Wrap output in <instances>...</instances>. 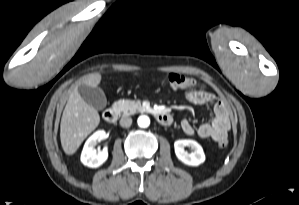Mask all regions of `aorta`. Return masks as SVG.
Returning <instances> with one entry per match:
<instances>
[{"label":"aorta","instance_id":"aorta-1","mask_svg":"<svg viewBox=\"0 0 299 205\" xmlns=\"http://www.w3.org/2000/svg\"><path fill=\"white\" fill-rule=\"evenodd\" d=\"M138 125H139V127H141V128H146V127H148L149 126V124H150V119H149V117L148 116H146V115H142V116H140L139 118H138Z\"/></svg>","mask_w":299,"mask_h":205}]
</instances>
